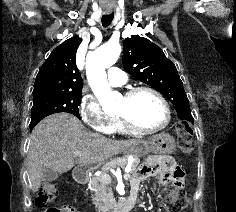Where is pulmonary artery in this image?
I'll list each match as a JSON object with an SVG mask.
<instances>
[{"mask_svg":"<svg viewBox=\"0 0 236 212\" xmlns=\"http://www.w3.org/2000/svg\"><path fill=\"white\" fill-rule=\"evenodd\" d=\"M108 82L111 86H122L127 82V76L124 71L117 67L108 69Z\"/></svg>","mask_w":236,"mask_h":212,"instance_id":"e3ab8cb5","label":"pulmonary artery"}]
</instances>
